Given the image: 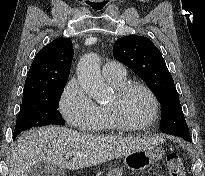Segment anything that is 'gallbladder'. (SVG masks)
I'll use <instances>...</instances> for the list:
<instances>
[{"label":"gallbladder","mask_w":205,"mask_h":176,"mask_svg":"<svg viewBox=\"0 0 205 176\" xmlns=\"http://www.w3.org/2000/svg\"><path fill=\"white\" fill-rule=\"evenodd\" d=\"M29 176H64V170L54 164L37 163L31 168Z\"/></svg>","instance_id":"gallbladder-1"}]
</instances>
